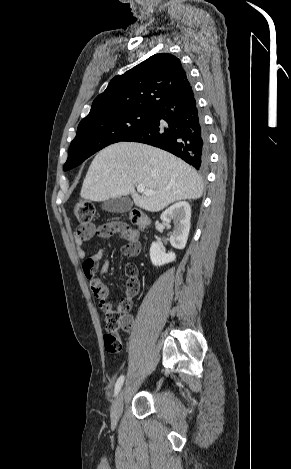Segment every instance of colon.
I'll list each match as a JSON object with an SVG mask.
<instances>
[{"mask_svg":"<svg viewBox=\"0 0 291 469\" xmlns=\"http://www.w3.org/2000/svg\"><path fill=\"white\" fill-rule=\"evenodd\" d=\"M95 214V206L91 201L79 200L73 206V215L79 222L78 230L82 234H90L93 217ZM130 221L139 227H145L148 224L146 214L138 209L133 208L129 212ZM103 229H99L96 233L101 235ZM128 247L123 248L124 253L128 252ZM89 268H93L94 264L90 263ZM127 276V289L125 296L118 302L116 308L108 309L104 312L105 328L107 333L104 334L103 341L105 350L112 354H117L122 350L121 339L117 335L120 329L130 330L133 325V319L129 315L132 307L133 297L138 291V268L135 264L129 263L125 267Z\"/></svg>","mask_w":291,"mask_h":469,"instance_id":"obj_1","label":"colon"}]
</instances>
